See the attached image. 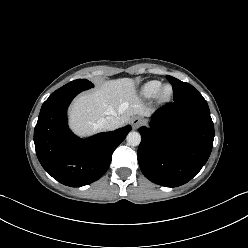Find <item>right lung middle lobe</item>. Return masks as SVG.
Instances as JSON below:
<instances>
[{"instance_id": "right-lung-middle-lobe-1", "label": "right lung middle lobe", "mask_w": 248, "mask_h": 248, "mask_svg": "<svg viewBox=\"0 0 248 248\" xmlns=\"http://www.w3.org/2000/svg\"><path fill=\"white\" fill-rule=\"evenodd\" d=\"M94 85L86 80V79H77L74 81H71L70 83L64 85L61 87V89H67V88H82L83 90L92 88Z\"/></svg>"}]
</instances>
